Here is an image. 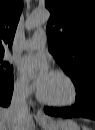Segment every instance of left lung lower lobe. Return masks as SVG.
Here are the masks:
<instances>
[{
  "label": "left lung lower lobe",
  "instance_id": "left-lung-lower-lobe-1",
  "mask_svg": "<svg viewBox=\"0 0 95 130\" xmlns=\"http://www.w3.org/2000/svg\"><path fill=\"white\" fill-rule=\"evenodd\" d=\"M75 104L68 108L45 107L44 112L64 118L84 117L95 119V77L88 79L83 86L76 89Z\"/></svg>",
  "mask_w": 95,
  "mask_h": 130
}]
</instances>
